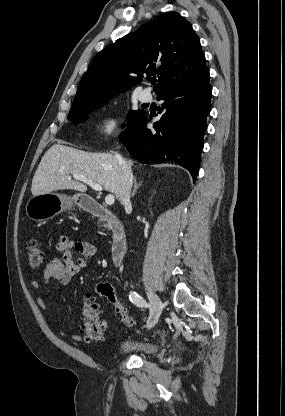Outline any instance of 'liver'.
Returning a JSON list of instances; mask_svg holds the SVG:
<instances>
[{"mask_svg": "<svg viewBox=\"0 0 285 416\" xmlns=\"http://www.w3.org/2000/svg\"><path fill=\"white\" fill-rule=\"evenodd\" d=\"M127 164L132 166L130 160ZM68 174L86 176L112 192L117 200L120 198L122 170L113 154H90L61 144H54L44 154L32 180L33 196L57 190L87 192V186L77 180H68Z\"/></svg>", "mask_w": 285, "mask_h": 416, "instance_id": "6515ba94", "label": "liver"}]
</instances>
